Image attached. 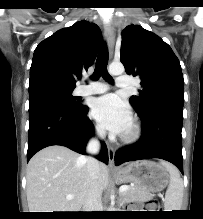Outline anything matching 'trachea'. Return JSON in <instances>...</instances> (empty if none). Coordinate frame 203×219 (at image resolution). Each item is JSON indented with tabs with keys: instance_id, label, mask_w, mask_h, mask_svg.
<instances>
[{
	"instance_id": "1",
	"label": "trachea",
	"mask_w": 203,
	"mask_h": 219,
	"mask_svg": "<svg viewBox=\"0 0 203 219\" xmlns=\"http://www.w3.org/2000/svg\"><path fill=\"white\" fill-rule=\"evenodd\" d=\"M108 50L105 44L102 45L97 61L95 71L92 75L93 80H98L101 76L108 82L112 83V77L107 72Z\"/></svg>"
}]
</instances>
